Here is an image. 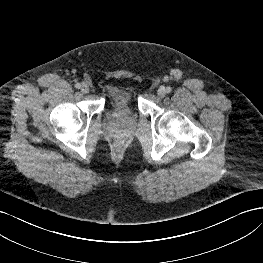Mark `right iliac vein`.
I'll use <instances>...</instances> for the list:
<instances>
[{
    "label": "right iliac vein",
    "instance_id": "63e3f726",
    "mask_svg": "<svg viewBox=\"0 0 263 263\" xmlns=\"http://www.w3.org/2000/svg\"><path fill=\"white\" fill-rule=\"evenodd\" d=\"M81 92L82 93H88L89 92V86L87 84L83 83L81 86Z\"/></svg>",
    "mask_w": 263,
    "mask_h": 263
}]
</instances>
